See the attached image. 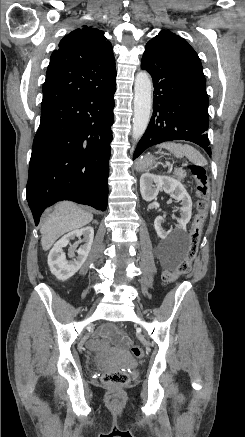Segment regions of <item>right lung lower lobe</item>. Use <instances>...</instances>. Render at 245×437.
Segmentation results:
<instances>
[{
    "mask_svg": "<svg viewBox=\"0 0 245 437\" xmlns=\"http://www.w3.org/2000/svg\"><path fill=\"white\" fill-rule=\"evenodd\" d=\"M115 91L116 79L41 111L26 190L35 225L46 207L62 200L106 210Z\"/></svg>",
    "mask_w": 245,
    "mask_h": 437,
    "instance_id": "98d812e1",
    "label": "right lung lower lobe"
}]
</instances>
